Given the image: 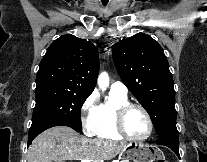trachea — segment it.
<instances>
[{
    "instance_id": "trachea-1",
    "label": "trachea",
    "mask_w": 207,
    "mask_h": 162,
    "mask_svg": "<svg viewBox=\"0 0 207 162\" xmlns=\"http://www.w3.org/2000/svg\"><path fill=\"white\" fill-rule=\"evenodd\" d=\"M103 5H106L108 3V0H101Z\"/></svg>"
}]
</instances>
